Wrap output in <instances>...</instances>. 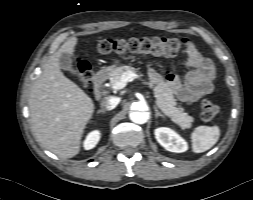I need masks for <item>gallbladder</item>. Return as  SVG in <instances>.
<instances>
[{"label":"gallbladder","mask_w":253,"mask_h":200,"mask_svg":"<svg viewBox=\"0 0 253 200\" xmlns=\"http://www.w3.org/2000/svg\"><path fill=\"white\" fill-rule=\"evenodd\" d=\"M59 64H60L61 69L66 70L72 73L73 75L78 76L79 78L83 79V75L78 70H75L73 68L72 58L69 54L63 53L60 56Z\"/></svg>","instance_id":"obj_1"}]
</instances>
